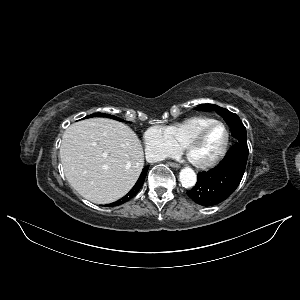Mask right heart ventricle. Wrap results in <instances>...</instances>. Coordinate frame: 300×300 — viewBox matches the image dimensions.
<instances>
[{"instance_id":"e07e8e85","label":"right heart ventricle","mask_w":300,"mask_h":300,"mask_svg":"<svg viewBox=\"0 0 300 300\" xmlns=\"http://www.w3.org/2000/svg\"><path fill=\"white\" fill-rule=\"evenodd\" d=\"M213 118L207 116H193L179 122L163 126L162 129L169 140L179 149L203 126L212 122Z\"/></svg>"}]
</instances>
